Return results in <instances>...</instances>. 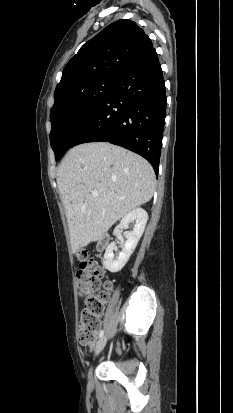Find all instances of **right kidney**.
Wrapping results in <instances>:
<instances>
[{
    "instance_id": "1",
    "label": "right kidney",
    "mask_w": 233,
    "mask_h": 413,
    "mask_svg": "<svg viewBox=\"0 0 233 413\" xmlns=\"http://www.w3.org/2000/svg\"><path fill=\"white\" fill-rule=\"evenodd\" d=\"M147 220L148 214L142 208H135L122 218L120 224L114 229V235H117L121 229L128 226L131 222H135V225L133 230L126 234V242L117 257L113 253L116 243L111 242L108 245L103 259V265L108 271L115 273L125 266L144 232Z\"/></svg>"
}]
</instances>
